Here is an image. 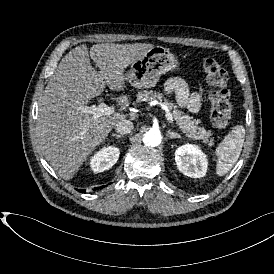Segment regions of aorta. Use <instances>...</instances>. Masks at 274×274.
<instances>
[{"label": "aorta", "mask_w": 274, "mask_h": 274, "mask_svg": "<svg viewBox=\"0 0 274 274\" xmlns=\"http://www.w3.org/2000/svg\"><path fill=\"white\" fill-rule=\"evenodd\" d=\"M161 132L158 129H150L143 136V142L146 146L156 147L161 143Z\"/></svg>", "instance_id": "aorta-1"}]
</instances>
